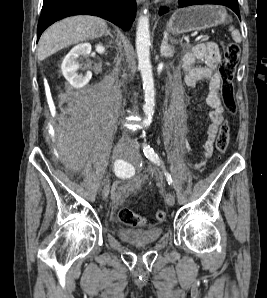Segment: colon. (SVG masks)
<instances>
[{
  "mask_svg": "<svg viewBox=\"0 0 267 298\" xmlns=\"http://www.w3.org/2000/svg\"><path fill=\"white\" fill-rule=\"evenodd\" d=\"M240 59V48L235 43H229L224 48V59L220 66V76L222 80L221 94L222 99L227 109L233 112L236 108L235 103V89L233 84L234 75ZM230 140V127L225 121L221 124L219 133L215 142L216 150L219 154L226 152ZM119 219L122 223L129 226H143L146 224V219L130 208H121L118 213ZM166 213L164 210H157L155 218L158 222L164 221Z\"/></svg>",
  "mask_w": 267,
  "mask_h": 298,
  "instance_id": "5ec220e1",
  "label": "colon"
}]
</instances>
